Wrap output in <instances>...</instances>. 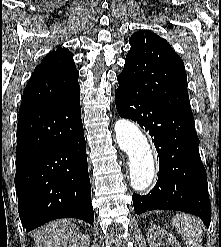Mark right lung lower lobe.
Returning <instances> with one entry per match:
<instances>
[{"label":"right lung lower lobe","instance_id":"1","mask_svg":"<svg viewBox=\"0 0 221 247\" xmlns=\"http://www.w3.org/2000/svg\"><path fill=\"white\" fill-rule=\"evenodd\" d=\"M15 187L27 232L58 218L93 224L80 90L19 112Z\"/></svg>","mask_w":221,"mask_h":247}]
</instances>
